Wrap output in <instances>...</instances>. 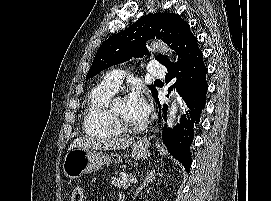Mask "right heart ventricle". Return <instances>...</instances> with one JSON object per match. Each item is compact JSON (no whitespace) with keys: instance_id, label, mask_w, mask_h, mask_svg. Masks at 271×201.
Returning <instances> with one entry per match:
<instances>
[{"instance_id":"1","label":"right heart ventricle","mask_w":271,"mask_h":201,"mask_svg":"<svg viewBox=\"0 0 271 201\" xmlns=\"http://www.w3.org/2000/svg\"><path fill=\"white\" fill-rule=\"evenodd\" d=\"M115 90L103 85L94 88L87 96L84 112V130L95 138H111L122 131L113 123L108 113V103Z\"/></svg>"}]
</instances>
